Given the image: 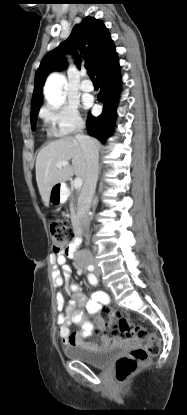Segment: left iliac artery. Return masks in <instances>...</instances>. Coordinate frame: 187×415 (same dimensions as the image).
Listing matches in <instances>:
<instances>
[{
    "label": "left iliac artery",
    "mask_w": 187,
    "mask_h": 415,
    "mask_svg": "<svg viewBox=\"0 0 187 415\" xmlns=\"http://www.w3.org/2000/svg\"><path fill=\"white\" fill-rule=\"evenodd\" d=\"M88 279H89V282L91 284H93V285H96L97 284V279H96V277L93 274H89Z\"/></svg>",
    "instance_id": "obj_1"
}]
</instances>
